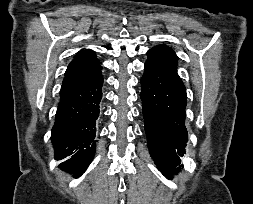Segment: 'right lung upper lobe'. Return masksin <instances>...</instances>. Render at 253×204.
Segmentation results:
<instances>
[{
	"label": "right lung upper lobe",
	"instance_id": "obj_1",
	"mask_svg": "<svg viewBox=\"0 0 253 204\" xmlns=\"http://www.w3.org/2000/svg\"><path fill=\"white\" fill-rule=\"evenodd\" d=\"M85 51H87V50H84V51H80V52H78V53H77V56H78L79 54H81V53L85 52Z\"/></svg>",
	"mask_w": 253,
	"mask_h": 204
}]
</instances>
